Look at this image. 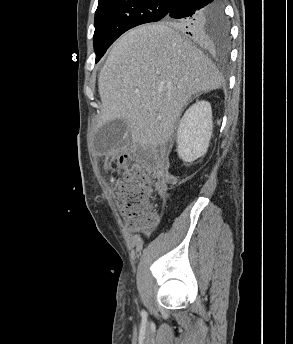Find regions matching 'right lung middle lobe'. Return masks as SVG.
<instances>
[{"mask_svg": "<svg viewBox=\"0 0 293 344\" xmlns=\"http://www.w3.org/2000/svg\"><path fill=\"white\" fill-rule=\"evenodd\" d=\"M173 6L170 0H105L98 3L95 13V33L93 44L96 63L105 54L109 46L127 30L149 22L162 20L171 26L182 29L184 20L167 17ZM205 24V44L227 50L229 28L220 1L215 10L199 18Z\"/></svg>", "mask_w": 293, "mask_h": 344, "instance_id": "dd1d6c3e", "label": "right lung middle lobe"}]
</instances>
